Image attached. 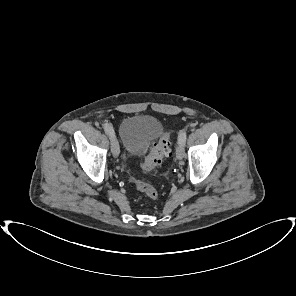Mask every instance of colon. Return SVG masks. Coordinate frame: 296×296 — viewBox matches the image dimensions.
<instances>
[{
  "mask_svg": "<svg viewBox=\"0 0 296 296\" xmlns=\"http://www.w3.org/2000/svg\"><path fill=\"white\" fill-rule=\"evenodd\" d=\"M171 133L167 132L161 136L149 150L146 160L141 164L144 170H152L159 166L165 157L171 154ZM134 185L138 190L143 192L147 197L155 200L158 197L157 190L150 184L138 179L133 180Z\"/></svg>",
  "mask_w": 296,
  "mask_h": 296,
  "instance_id": "obj_1",
  "label": "colon"
}]
</instances>
